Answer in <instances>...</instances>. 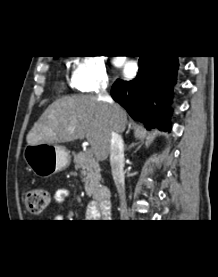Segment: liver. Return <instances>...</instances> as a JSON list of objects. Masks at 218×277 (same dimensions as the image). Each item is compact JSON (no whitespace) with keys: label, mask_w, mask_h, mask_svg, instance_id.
<instances>
[{"label":"liver","mask_w":218,"mask_h":277,"mask_svg":"<svg viewBox=\"0 0 218 277\" xmlns=\"http://www.w3.org/2000/svg\"><path fill=\"white\" fill-rule=\"evenodd\" d=\"M117 106L114 111L109 104L88 95L58 99L34 124L26 137L27 143L58 144L86 137L96 158L106 160L112 131L123 132L127 124L126 112Z\"/></svg>","instance_id":"6515ba94"}]
</instances>
